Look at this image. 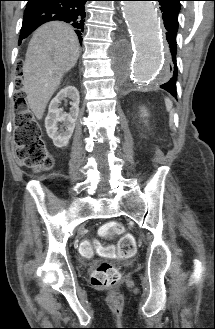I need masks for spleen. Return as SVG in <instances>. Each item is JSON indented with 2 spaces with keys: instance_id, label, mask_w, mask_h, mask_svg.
I'll list each match as a JSON object with an SVG mask.
<instances>
[{
  "instance_id": "3e777b00",
  "label": "spleen",
  "mask_w": 215,
  "mask_h": 329,
  "mask_svg": "<svg viewBox=\"0 0 215 329\" xmlns=\"http://www.w3.org/2000/svg\"><path fill=\"white\" fill-rule=\"evenodd\" d=\"M165 105H166V109L167 111L170 113V119L172 121V117H173V109H172V101L169 98H165Z\"/></svg>"
}]
</instances>
